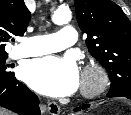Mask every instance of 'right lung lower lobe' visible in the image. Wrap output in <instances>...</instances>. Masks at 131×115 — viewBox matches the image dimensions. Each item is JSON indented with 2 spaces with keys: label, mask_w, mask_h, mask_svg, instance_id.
<instances>
[{
  "label": "right lung lower lobe",
  "mask_w": 131,
  "mask_h": 115,
  "mask_svg": "<svg viewBox=\"0 0 131 115\" xmlns=\"http://www.w3.org/2000/svg\"><path fill=\"white\" fill-rule=\"evenodd\" d=\"M0 106L20 115H41L38 97L14 75L0 79Z\"/></svg>",
  "instance_id": "1"
}]
</instances>
